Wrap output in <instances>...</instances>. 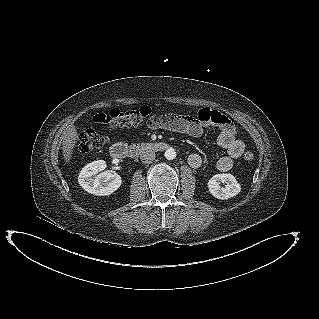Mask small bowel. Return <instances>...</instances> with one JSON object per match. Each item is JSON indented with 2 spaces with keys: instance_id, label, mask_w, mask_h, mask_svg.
Instances as JSON below:
<instances>
[{
  "instance_id": "small-bowel-1",
  "label": "small bowel",
  "mask_w": 319,
  "mask_h": 319,
  "mask_svg": "<svg viewBox=\"0 0 319 319\" xmlns=\"http://www.w3.org/2000/svg\"><path fill=\"white\" fill-rule=\"evenodd\" d=\"M96 122H102L100 114L94 117ZM147 125L152 129H167L170 131L186 134L199 138L203 135L206 127H214L217 130V143L225 150L226 155L217 161V168L220 171H228L234 161L238 159L245 150L244 142L237 137L234 124L222 113L210 108L201 109L197 116L176 115L168 113L165 116H156L150 119ZM188 164L192 168H199L202 158L197 153L188 157Z\"/></svg>"
}]
</instances>
